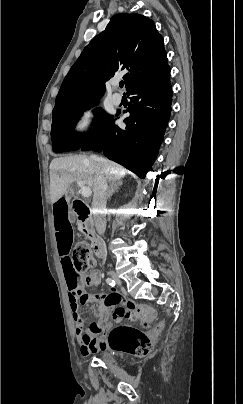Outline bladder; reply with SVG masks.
<instances>
[{
	"label": "bladder",
	"instance_id": "obj_1",
	"mask_svg": "<svg viewBox=\"0 0 243 404\" xmlns=\"http://www.w3.org/2000/svg\"><path fill=\"white\" fill-rule=\"evenodd\" d=\"M99 359L107 365L113 363V356L109 351H102L99 354Z\"/></svg>",
	"mask_w": 243,
	"mask_h": 404
}]
</instances>
